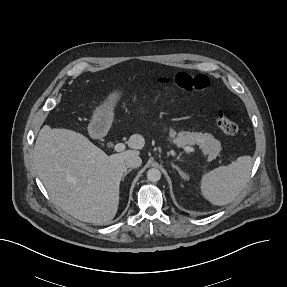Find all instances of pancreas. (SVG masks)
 I'll list each match as a JSON object with an SVG mask.
<instances>
[{
    "label": "pancreas",
    "mask_w": 287,
    "mask_h": 287,
    "mask_svg": "<svg viewBox=\"0 0 287 287\" xmlns=\"http://www.w3.org/2000/svg\"><path fill=\"white\" fill-rule=\"evenodd\" d=\"M171 134H175V132L171 131ZM175 143L179 146L183 144H198L202 152L208 155L210 160L215 159L221 151V143L210 133L181 132L175 138Z\"/></svg>",
    "instance_id": "1"
}]
</instances>
